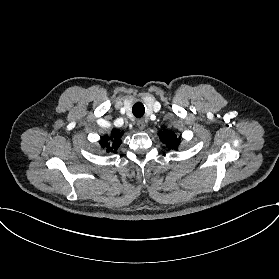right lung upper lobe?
<instances>
[{
  "instance_id": "cb5924a9",
  "label": "right lung upper lobe",
  "mask_w": 279,
  "mask_h": 279,
  "mask_svg": "<svg viewBox=\"0 0 279 279\" xmlns=\"http://www.w3.org/2000/svg\"><path fill=\"white\" fill-rule=\"evenodd\" d=\"M123 132L118 130H113L110 136H104L100 141V145L107 152H112L113 150H117L119 145L121 144L120 138L122 137Z\"/></svg>"
}]
</instances>
